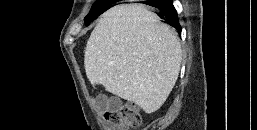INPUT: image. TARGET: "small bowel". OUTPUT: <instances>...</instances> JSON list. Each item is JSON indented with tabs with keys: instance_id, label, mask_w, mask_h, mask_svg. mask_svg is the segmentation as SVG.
Here are the masks:
<instances>
[{
	"instance_id": "c3829d8e",
	"label": "small bowel",
	"mask_w": 257,
	"mask_h": 130,
	"mask_svg": "<svg viewBox=\"0 0 257 130\" xmlns=\"http://www.w3.org/2000/svg\"><path fill=\"white\" fill-rule=\"evenodd\" d=\"M95 103L99 109H104L108 111L118 105V100L115 98H109L105 95H100L96 97Z\"/></svg>"
}]
</instances>
